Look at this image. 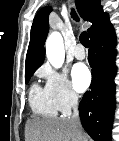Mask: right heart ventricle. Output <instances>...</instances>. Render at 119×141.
I'll return each instance as SVG.
<instances>
[{"mask_svg":"<svg viewBox=\"0 0 119 141\" xmlns=\"http://www.w3.org/2000/svg\"><path fill=\"white\" fill-rule=\"evenodd\" d=\"M29 102L34 113L44 117H56L58 109L45 87L34 83L29 91Z\"/></svg>","mask_w":119,"mask_h":141,"instance_id":"right-heart-ventricle-1","label":"right heart ventricle"}]
</instances>
